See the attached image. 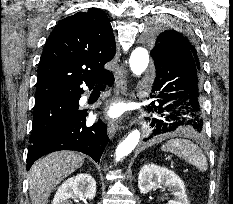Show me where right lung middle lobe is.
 Returning a JSON list of instances; mask_svg holds the SVG:
<instances>
[{
    "label": "right lung middle lobe",
    "instance_id": "1",
    "mask_svg": "<svg viewBox=\"0 0 233 204\" xmlns=\"http://www.w3.org/2000/svg\"><path fill=\"white\" fill-rule=\"evenodd\" d=\"M79 96H53L35 102L30 143L50 134L79 108Z\"/></svg>",
    "mask_w": 233,
    "mask_h": 204
}]
</instances>
